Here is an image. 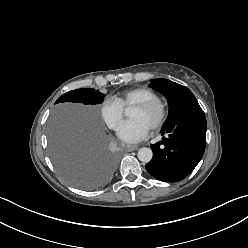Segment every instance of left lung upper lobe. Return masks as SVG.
<instances>
[{"label":"left lung upper lobe","instance_id":"obj_1","mask_svg":"<svg viewBox=\"0 0 248 248\" xmlns=\"http://www.w3.org/2000/svg\"><path fill=\"white\" fill-rule=\"evenodd\" d=\"M150 87L163 94L168 101L169 115L165 123L188 102L196 100L195 96L188 88L164 78L152 79Z\"/></svg>","mask_w":248,"mask_h":248}]
</instances>
